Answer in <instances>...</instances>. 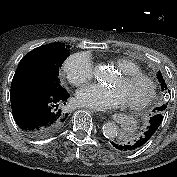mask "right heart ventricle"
<instances>
[{
	"mask_svg": "<svg viewBox=\"0 0 177 177\" xmlns=\"http://www.w3.org/2000/svg\"><path fill=\"white\" fill-rule=\"evenodd\" d=\"M121 73H140L141 67L133 60L128 58H117L112 61Z\"/></svg>",
	"mask_w": 177,
	"mask_h": 177,
	"instance_id": "right-heart-ventricle-1",
	"label": "right heart ventricle"
}]
</instances>
